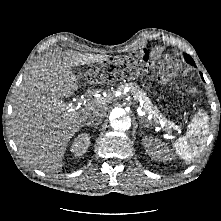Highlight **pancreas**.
Here are the masks:
<instances>
[{
  "mask_svg": "<svg viewBox=\"0 0 221 221\" xmlns=\"http://www.w3.org/2000/svg\"><path fill=\"white\" fill-rule=\"evenodd\" d=\"M128 87L133 95L134 100L143 102V108L148 111L149 114H152L156 118L165 119L158 111V109L153 106L147 94L140 89V87L135 83H126L122 85L121 88Z\"/></svg>",
  "mask_w": 221,
  "mask_h": 221,
  "instance_id": "pancreas-1",
  "label": "pancreas"
}]
</instances>
